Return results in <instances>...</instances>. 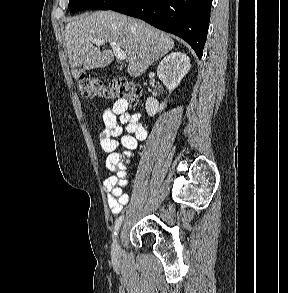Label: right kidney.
Returning <instances> with one entry per match:
<instances>
[{
    "instance_id": "right-kidney-1",
    "label": "right kidney",
    "mask_w": 288,
    "mask_h": 293,
    "mask_svg": "<svg viewBox=\"0 0 288 293\" xmlns=\"http://www.w3.org/2000/svg\"><path fill=\"white\" fill-rule=\"evenodd\" d=\"M189 57L182 52H173L160 62L157 68V75L169 92H172L181 82L183 77L190 70ZM166 106L165 102H159L152 97L147 98L145 109L149 116L161 112Z\"/></svg>"
}]
</instances>
